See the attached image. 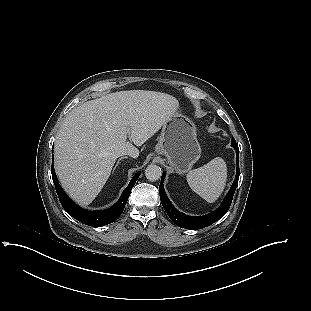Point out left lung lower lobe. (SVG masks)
<instances>
[{
    "instance_id": "obj_1",
    "label": "left lung lower lobe",
    "mask_w": 311,
    "mask_h": 311,
    "mask_svg": "<svg viewBox=\"0 0 311 311\" xmlns=\"http://www.w3.org/2000/svg\"><path fill=\"white\" fill-rule=\"evenodd\" d=\"M232 147L236 150V155H237V172H236V177L233 182V185L231 186L227 196L225 197L223 203L221 206L216 209L214 212L209 213L205 216H199V217H193V216H188L186 214H183L179 212L174 206L171 204L169 201L164 187H163V181L165 177V173L162 174L160 186H159V193H160V199L163 205V208L165 209L166 213L170 217V219L179 227L181 228H186V229H201L204 227H207L220 218H222L228 211L232 198L235 192V189L238 184V179H239V148L236 144V141L233 139L232 142Z\"/></svg>"
}]
</instances>
